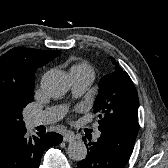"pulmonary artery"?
<instances>
[{"label": "pulmonary artery", "instance_id": "pulmonary-artery-1", "mask_svg": "<svg viewBox=\"0 0 168 168\" xmlns=\"http://www.w3.org/2000/svg\"><path fill=\"white\" fill-rule=\"evenodd\" d=\"M72 89L75 95L83 93L89 88L94 80L92 74H75L71 76ZM65 109L63 107L49 108L41 113L30 115L26 119L28 128H34L40 125H46L57 121L64 115ZM101 135L100 131H96L94 138L97 139Z\"/></svg>", "mask_w": 168, "mask_h": 168}]
</instances>
